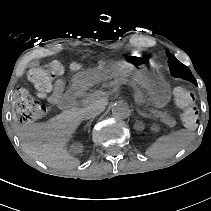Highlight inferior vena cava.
Returning a JSON list of instances; mask_svg holds the SVG:
<instances>
[{
    "instance_id": "1",
    "label": "inferior vena cava",
    "mask_w": 211,
    "mask_h": 211,
    "mask_svg": "<svg viewBox=\"0 0 211 211\" xmlns=\"http://www.w3.org/2000/svg\"><path fill=\"white\" fill-rule=\"evenodd\" d=\"M105 106L101 103V101H94L92 104L82 108L79 112L81 117L84 119H91L98 116L103 110Z\"/></svg>"
}]
</instances>
